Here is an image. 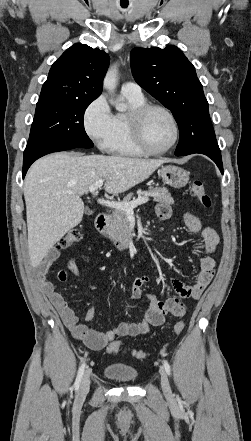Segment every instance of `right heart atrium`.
Listing matches in <instances>:
<instances>
[{"label":"right heart atrium","mask_w":251,"mask_h":441,"mask_svg":"<svg viewBox=\"0 0 251 441\" xmlns=\"http://www.w3.org/2000/svg\"><path fill=\"white\" fill-rule=\"evenodd\" d=\"M83 126L87 136L100 148L107 150L114 131L111 109L103 95L96 97L86 107Z\"/></svg>","instance_id":"right-heart-atrium-1"}]
</instances>
